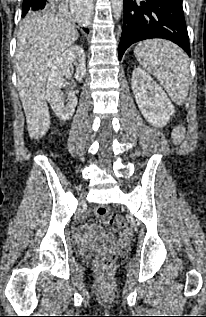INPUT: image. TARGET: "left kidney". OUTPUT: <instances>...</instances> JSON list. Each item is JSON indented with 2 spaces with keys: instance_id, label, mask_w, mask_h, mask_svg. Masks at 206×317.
<instances>
[{
  "instance_id": "5707ae66",
  "label": "left kidney",
  "mask_w": 206,
  "mask_h": 317,
  "mask_svg": "<svg viewBox=\"0 0 206 317\" xmlns=\"http://www.w3.org/2000/svg\"><path fill=\"white\" fill-rule=\"evenodd\" d=\"M131 87L145 119L155 127H164L174 113V106L162 88L139 67L132 72Z\"/></svg>"
}]
</instances>
